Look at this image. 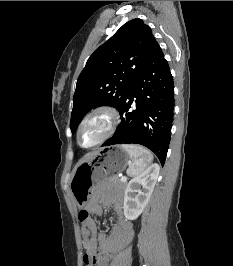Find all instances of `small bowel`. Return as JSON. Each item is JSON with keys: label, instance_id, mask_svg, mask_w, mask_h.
Masks as SVG:
<instances>
[{"label": "small bowel", "instance_id": "obj_1", "mask_svg": "<svg viewBox=\"0 0 233 266\" xmlns=\"http://www.w3.org/2000/svg\"><path fill=\"white\" fill-rule=\"evenodd\" d=\"M107 206H113L117 221L109 234L98 232L91 217L82 225L85 266H108L110 260L133 238L132 224L123 215V200L120 195L100 190L88 203L86 210L101 216ZM87 258L91 261L87 262Z\"/></svg>", "mask_w": 233, "mask_h": 266}]
</instances>
